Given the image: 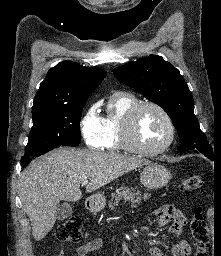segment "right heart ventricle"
Returning a JSON list of instances; mask_svg holds the SVG:
<instances>
[{
    "label": "right heart ventricle",
    "instance_id": "1",
    "mask_svg": "<svg viewBox=\"0 0 221 256\" xmlns=\"http://www.w3.org/2000/svg\"><path fill=\"white\" fill-rule=\"evenodd\" d=\"M139 101L135 95L128 92H117L113 94L107 103L104 122L103 148L107 151H129L121 136L122 126L128 110Z\"/></svg>",
    "mask_w": 221,
    "mask_h": 256
}]
</instances>
